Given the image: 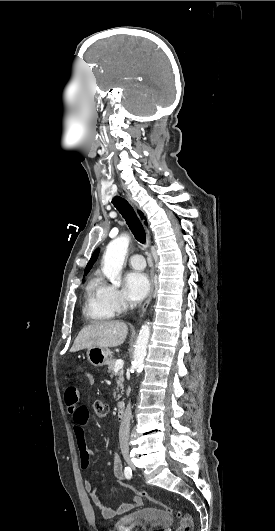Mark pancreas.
I'll return each mask as SVG.
<instances>
[{"mask_svg":"<svg viewBox=\"0 0 275 531\" xmlns=\"http://www.w3.org/2000/svg\"><path fill=\"white\" fill-rule=\"evenodd\" d=\"M115 363H116V359H112V361H109V363H108V371H107V373H111L110 377H114V375H115V373H114ZM116 377H118V379H116L117 387H116V389H114L113 397H114L115 401H118V399H120V395H117V397H116V393H119V389H123V383H124V371H123V369H120L119 373H116Z\"/></svg>","mask_w":275,"mask_h":531,"instance_id":"obj_1","label":"pancreas"}]
</instances>
